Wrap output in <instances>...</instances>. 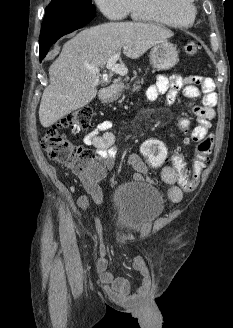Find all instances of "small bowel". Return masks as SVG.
Masks as SVG:
<instances>
[{
	"label": "small bowel",
	"instance_id": "1",
	"mask_svg": "<svg viewBox=\"0 0 233 328\" xmlns=\"http://www.w3.org/2000/svg\"><path fill=\"white\" fill-rule=\"evenodd\" d=\"M214 82L209 77L203 76H159L155 84L151 85L146 92L150 101H155L160 95H165L168 104H172L178 93L182 91L184 98L196 99L203 95L202 105H188L197 117L198 124L193 128L190 139L194 142L203 140L211 127V120L215 117L214 107L217 95L214 92ZM112 122L103 120L84 137V143L96 150L97 155L104 161L98 177L85 179L84 185L87 195L80 196L77 200L78 206L87 210L94 202L99 207L103 204V193L98 184V179L106 169L113 165L116 155L114 148L115 136L111 132ZM127 163L134 169V180L143 181L146 174V166L137 154H130ZM162 180L167 184V195L170 201L179 202L183 197V191L178 182L175 170L165 166L161 173ZM133 268L139 273L141 282L135 292H131L129 283L122 278H114L113 272L105 267L104 263L99 265L100 282L109 297L121 304L136 303L148 294L151 287L149 270L141 257L133 260Z\"/></svg>",
	"mask_w": 233,
	"mask_h": 328
}]
</instances>
